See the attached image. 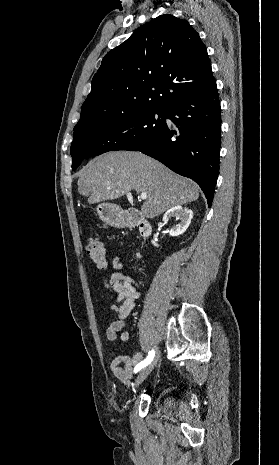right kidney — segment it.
I'll return each instance as SVG.
<instances>
[{"label": "right kidney", "instance_id": "1", "mask_svg": "<svg viewBox=\"0 0 279 465\" xmlns=\"http://www.w3.org/2000/svg\"><path fill=\"white\" fill-rule=\"evenodd\" d=\"M175 216L177 220H180V223L173 226L169 230V235L172 237L179 236L183 234L191 223V219L193 218V211L191 209L182 207L180 205L174 206L170 208L164 215H163V222H168L169 218ZM152 243L157 246L156 242L153 240Z\"/></svg>", "mask_w": 279, "mask_h": 465}]
</instances>
